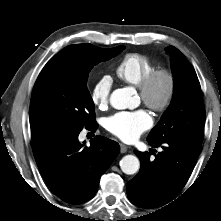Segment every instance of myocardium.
I'll list each match as a JSON object with an SVG mask.
<instances>
[{"label":"myocardium","mask_w":221,"mask_h":221,"mask_svg":"<svg viewBox=\"0 0 221 221\" xmlns=\"http://www.w3.org/2000/svg\"><path fill=\"white\" fill-rule=\"evenodd\" d=\"M164 79L166 89L163 98L156 101L153 97V89L156 83ZM143 103L155 112L166 111L173 102L176 93V77L172 70L165 67L152 69L137 86Z\"/></svg>","instance_id":"f54148a6"}]
</instances>
